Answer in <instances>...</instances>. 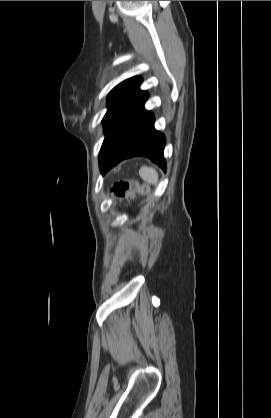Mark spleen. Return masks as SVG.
Returning <instances> with one entry per match:
<instances>
[{"label":"spleen","instance_id":"spleen-1","mask_svg":"<svg viewBox=\"0 0 271 418\" xmlns=\"http://www.w3.org/2000/svg\"><path fill=\"white\" fill-rule=\"evenodd\" d=\"M140 177L147 183L157 185L158 173L155 169L147 166H143L139 170Z\"/></svg>","mask_w":271,"mask_h":418}]
</instances>
